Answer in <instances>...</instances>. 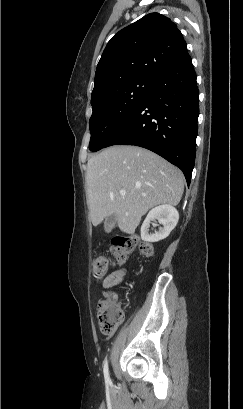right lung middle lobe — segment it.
Returning <instances> with one entry per match:
<instances>
[{
  "label": "right lung middle lobe",
  "instance_id": "dd1d6c3e",
  "mask_svg": "<svg viewBox=\"0 0 243 409\" xmlns=\"http://www.w3.org/2000/svg\"><path fill=\"white\" fill-rule=\"evenodd\" d=\"M154 83L147 80L129 81L91 103L90 150L98 151L106 147L112 135L143 102Z\"/></svg>",
  "mask_w": 243,
  "mask_h": 409
}]
</instances>
